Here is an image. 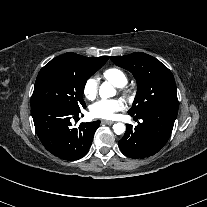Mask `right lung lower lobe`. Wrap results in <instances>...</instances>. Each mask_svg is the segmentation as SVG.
Here are the masks:
<instances>
[{
	"label": "right lung lower lobe",
	"mask_w": 207,
	"mask_h": 207,
	"mask_svg": "<svg viewBox=\"0 0 207 207\" xmlns=\"http://www.w3.org/2000/svg\"><path fill=\"white\" fill-rule=\"evenodd\" d=\"M79 113L80 110L72 111L50 103L31 107L36 133L53 155L73 161L88 152L100 121L72 127L71 119H76Z\"/></svg>",
	"instance_id": "obj_1"
}]
</instances>
